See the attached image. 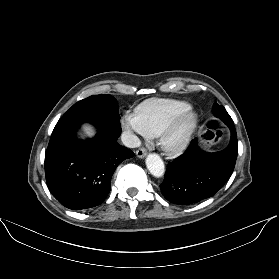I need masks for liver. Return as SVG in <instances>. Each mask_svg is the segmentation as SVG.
Returning <instances> with one entry per match:
<instances>
[{
	"label": "liver",
	"mask_w": 279,
	"mask_h": 279,
	"mask_svg": "<svg viewBox=\"0 0 279 279\" xmlns=\"http://www.w3.org/2000/svg\"><path fill=\"white\" fill-rule=\"evenodd\" d=\"M84 132H85L88 136H92V135L94 134V131H93L92 127H90V126H88V125L84 127Z\"/></svg>",
	"instance_id": "liver-1"
}]
</instances>
